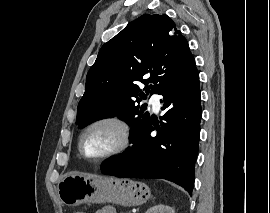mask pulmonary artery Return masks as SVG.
<instances>
[{
  "mask_svg": "<svg viewBox=\"0 0 270 213\" xmlns=\"http://www.w3.org/2000/svg\"><path fill=\"white\" fill-rule=\"evenodd\" d=\"M149 102L152 104L154 110L158 111L159 107H160V95L159 94H152Z\"/></svg>",
  "mask_w": 270,
  "mask_h": 213,
  "instance_id": "1",
  "label": "pulmonary artery"
}]
</instances>
